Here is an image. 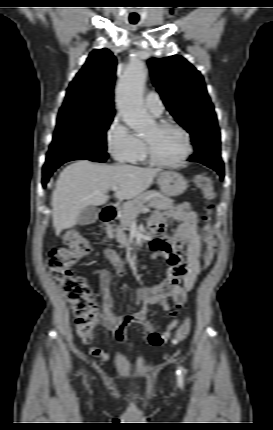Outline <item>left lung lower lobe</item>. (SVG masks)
I'll list each match as a JSON object with an SVG mask.
<instances>
[{
  "instance_id": "0a47b994",
  "label": "left lung lower lobe",
  "mask_w": 273,
  "mask_h": 430,
  "mask_svg": "<svg viewBox=\"0 0 273 430\" xmlns=\"http://www.w3.org/2000/svg\"><path fill=\"white\" fill-rule=\"evenodd\" d=\"M188 161L200 162L215 171L224 178V165L221 159L220 145H205L201 150L191 155Z\"/></svg>"
}]
</instances>
